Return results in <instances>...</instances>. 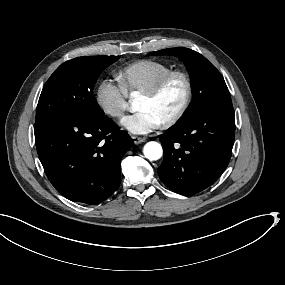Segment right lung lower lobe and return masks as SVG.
I'll use <instances>...</instances> for the list:
<instances>
[{
  "mask_svg": "<svg viewBox=\"0 0 285 285\" xmlns=\"http://www.w3.org/2000/svg\"><path fill=\"white\" fill-rule=\"evenodd\" d=\"M35 143L45 174L71 201L108 199L120 184V162L134 145L107 117L58 113L35 121Z\"/></svg>",
  "mask_w": 285,
  "mask_h": 285,
  "instance_id": "right-lung-lower-lobe-1",
  "label": "right lung lower lobe"
}]
</instances>
